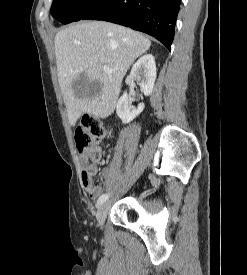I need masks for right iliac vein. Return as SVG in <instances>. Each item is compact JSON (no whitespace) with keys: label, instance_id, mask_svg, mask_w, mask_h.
Masks as SVG:
<instances>
[{"label":"right iliac vein","instance_id":"63e3f726","mask_svg":"<svg viewBox=\"0 0 247 275\" xmlns=\"http://www.w3.org/2000/svg\"><path fill=\"white\" fill-rule=\"evenodd\" d=\"M109 211V202H104L103 204H101L98 207V211H97V221L99 223V225L102 227L105 219L107 217Z\"/></svg>","mask_w":247,"mask_h":275}]
</instances>
